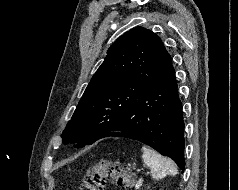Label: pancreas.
I'll return each instance as SVG.
<instances>
[{"label": "pancreas", "instance_id": "1", "mask_svg": "<svg viewBox=\"0 0 238 190\" xmlns=\"http://www.w3.org/2000/svg\"><path fill=\"white\" fill-rule=\"evenodd\" d=\"M142 183H143V180H142V179H139V180L137 181V183L135 184V187H136V188H140V187L142 186Z\"/></svg>", "mask_w": 238, "mask_h": 190}]
</instances>
